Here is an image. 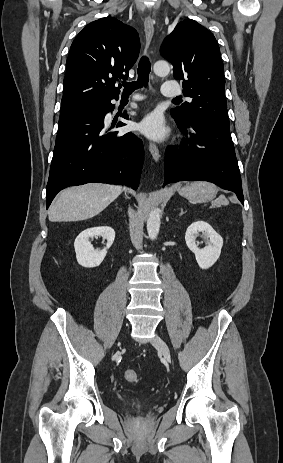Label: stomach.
Here are the masks:
<instances>
[{
    "instance_id": "1",
    "label": "stomach",
    "mask_w": 283,
    "mask_h": 463,
    "mask_svg": "<svg viewBox=\"0 0 283 463\" xmlns=\"http://www.w3.org/2000/svg\"><path fill=\"white\" fill-rule=\"evenodd\" d=\"M216 187L208 182H194L178 187V193L193 202H206L216 195Z\"/></svg>"
}]
</instances>
